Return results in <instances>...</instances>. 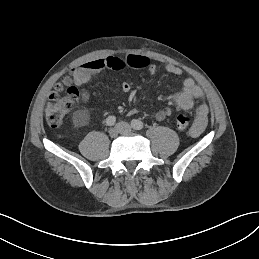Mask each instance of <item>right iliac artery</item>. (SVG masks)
Listing matches in <instances>:
<instances>
[{"label":"right iliac artery","mask_w":259,"mask_h":259,"mask_svg":"<svg viewBox=\"0 0 259 259\" xmlns=\"http://www.w3.org/2000/svg\"><path fill=\"white\" fill-rule=\"evenodd\" d=\"M115 122H116L115 116H108V117L106 118V124H107L108 126H113V125L115 124Z\"/></svg>","instance_id":"1"}]
</instances>
